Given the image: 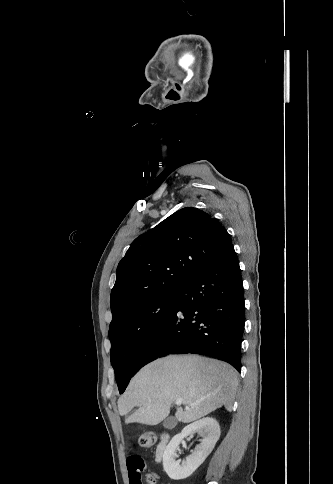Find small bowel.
I'll return each mask as SVG.
<instances>
[{
  "instance_id": "c3829d8e",
  "label": "small bowel",
  "mask_w": 333,
  "mask_h": 484,
  "mask_svg": "<svg viewBox=\"0 0 333 484\" xmlns=\"http://www.w3.org/2000/svg\"><path fill=\"white\" fill-rule=\"evenodd\" d=\"M127 468L129 471L130 484H142L141 473L145 470V462L143 458L137 454L128 456Z\"/></svg>"
}]
</instances>
